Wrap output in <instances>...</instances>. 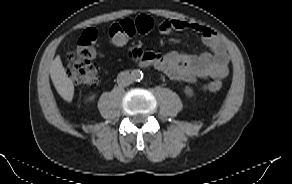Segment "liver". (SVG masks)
Listing matches in <instances>:
<instances>
[{
  "label": "liver",
  "mask_w": 292,
  "mask_h": 184,
  "mask_svg": "<svg viewBox=\"0 0 292 184\" xmlns=\"http://www.w3.org/2000/svg\"><path fill=\"white\" fill-rule=\"evenodd\" d=\"M51 80L58 94L67 102H71L74 95V85L67 76L66 70L62 65L60 56H56L50 68Z\"/></svg>",
  "instance_id": "1"
}]
</instances>
